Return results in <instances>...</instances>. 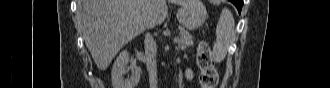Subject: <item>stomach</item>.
Listing matches in <instances>:
<instances>
[{"mask_svg":"<svg viewBox=\"0 0 330 88\" xmlns=\"http://www.w3.org/2000/svg\"><path fill=\"white\" fill-rule=\"evenodd\" d=\"M207 18V11L200 0H190L177 11L179 23L188 30H196L203 25Z\"/></svg>","mask_w":330,"mask_h":88,"instance_id":"0dacf381","label":"stomach"}]
</instances>
